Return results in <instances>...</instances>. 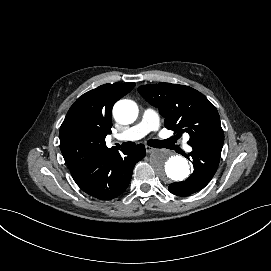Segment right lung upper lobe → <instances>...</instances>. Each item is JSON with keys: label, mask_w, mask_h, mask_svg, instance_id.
Wrapping results in <instances>:
<instances>
[{"label": "right lung upper lobe", "mask_w": 271, "mask_h": 271, "mask_svg": "<svg viewBox=\"0 0 271 271\" xmlns=\"http://www.w3.org/2000/svg\"><path fill=\"white\" fill-rule=\"evenodd\" d=\"M135 83L104 84L77 99L60 127V149L72 175L108 150L105 137L111 133L112 107Z\"/></svg>", "instance_id": "cb5924a9"}]
</instances>
